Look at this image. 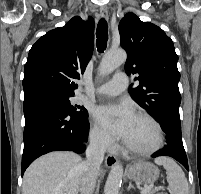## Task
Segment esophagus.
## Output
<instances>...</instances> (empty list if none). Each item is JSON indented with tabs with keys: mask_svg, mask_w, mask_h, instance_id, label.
Segmentation results:
<instances>
[{
	"mask_svg": "<svg viewBox=\"0 0 201 194\" xmlns=\"http://www.w3.org/2000/svg\"><path fill=\"white\" fill-rule=\"evenodd\" d=\"M99 15L104 18L108 19V7L102 6L99 10ZM117 163V158L114 155L108 154L105 158V164L108 168H112Z\"/></svg>",
	"mask_w": 201,
	"mask_h": 194,
	"instance_id": "34e87169",
	"label": "esophagus"
}]
</instances>
